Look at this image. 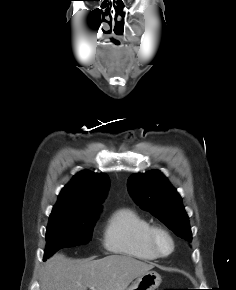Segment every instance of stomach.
<instances>
[{
  "label": "stomach",
  "instance_id": "obj_1",
  "mask_svg": "<svg viewBox=\"0 0 236 290\" xmlns=\"http://www.w3.org/2000/svg\"><path fill=\"white\" fill-rule=\"evenodd\" d=\"M161 283V276L156 271H148L137 277L127 290H156Z\"/></svg>",
  "mask_w": 236,
  "mask_h": 290
}]
</instances>
